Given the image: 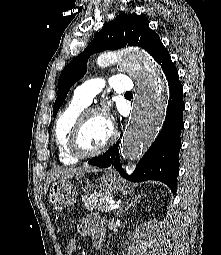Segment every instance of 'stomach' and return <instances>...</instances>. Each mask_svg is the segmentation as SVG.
Segmentation results:
<instances>
[{"mask_svg":"<svg viewBox=\"0 0 221 255\" xmlns=\"http://www.w3.org/2000/svg\"><path fill=\"white\" fill-rule=\"evenodd\" d=\"M100 186L105 191L124 192L128 193L130 188L113 173H105L100 178ZM92 186L87 184L85 189L91 190ZM48 201L54 208H65L72 206L75 202V191L71 182L67 179H59L52 183L49 193Z\"/></svg>","mask_w":221,"mask_h":255,"instance_id":"0dacf381","label":"stomach"}]
</instances>
